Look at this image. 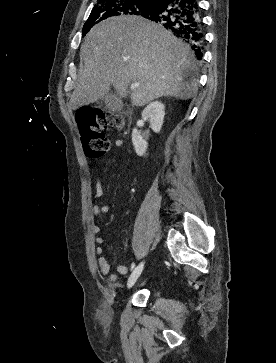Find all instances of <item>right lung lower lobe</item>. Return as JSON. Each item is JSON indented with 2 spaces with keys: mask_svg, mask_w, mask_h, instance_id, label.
<instances>
[{
  "mask_svg": "<svg viewBox=\"0 0 276 363\" xmlns=\"http://www.w3.org/2000/svg\"><path fill=\"white\" fill-rule=\"evenodd\" d=\"M141 16L187 42L201 59L204 32L198 0H159L154 8Z\"/></svg>",
  "mask_w": 276,
  "mask_h": 363,
  "instance_id": "obj_1",
  "label": "right lung lower lobe"
}]
</instances>
